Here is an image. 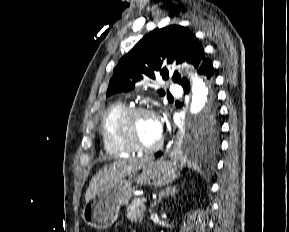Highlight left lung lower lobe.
<instances>
[{
    "label": "left lung lower lobe",
    "mask_w": 289,
    "mask_h": 232,
    "mask_svg": "<svg viewBox=\"0 0 289 232\" xmlns=\"http://www.w3.org/2000/svg\"><path fill=\"white\" fill-rule=\"evenodd\" d=\"M199 74H202L204 76L207 77V79L212 82V76H213V65L210 59L207 58H203L200 65H199V70H198ZM184 92L188 93L190 90V84L187 81L185 84L182 85ZM205 120V119H203ZM162 152H158L155 154V156H161Z\"/></svg>",
    "instance_id": "0a47b994"
}]
</instances>
